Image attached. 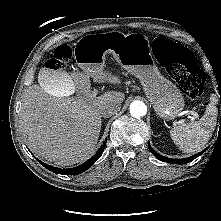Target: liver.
Listing matches in <instances>:
<instances>
[{
  "label": "liver",
  "mask_w": 221,
  "mask_h": 221,
  "mask_svg": "<svg viewBox=\"0 0 221 221\" xmlns=\"http://www.w3.org/2000/svg\"><path fill=\"white\" fill-rule=\"evenodd\" d=\"M42 68L39 85L29 86L22 100L20 123L29 148L38 156L59 166H71L87 159L94 151L102 123V108L121 104L125 95L109 91L96 96L91 91L89 77L120 84V79L103 71L99 74L83 71L66 77L64 94L53 93V74Z\"/></svg>",
  "instance_id": "1"
}]
</instances>
